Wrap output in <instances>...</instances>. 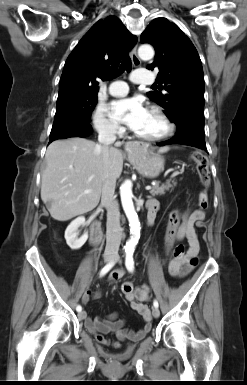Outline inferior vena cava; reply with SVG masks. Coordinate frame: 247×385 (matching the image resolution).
Returning <instances> with one entry per match:
<instances>
[{
  "mask_svg": "<svg viewBox=\"0 0 247 385\" xmlns=\"http://www.w3.org/2000/svg\"><path fill=\"white\" fill-rule=\"evenodd\" d=\"M116 140L115 128L106 125L99 130L98 141L105 151ZM108 159V154H106ZM116 179L107 176L102 186L101 203L107 210V230H106V248L105 256H117L122 238V230L120 226V212L117 201L115 200Z\"/></svg>",
  "mask_w": 247,
  "mask_h": 385,
  "instance_id": "602c4592",
  "label": "inferior vena cava"
}]
</instances>
